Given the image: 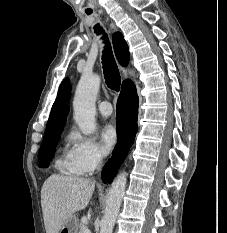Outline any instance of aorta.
<instances>
[{
	"label": "aorta",
	"instance_id": "1",
	"mask_svg": "<svg viewBox=\"0 0 227 233\" xmlns=\"http://www.w3.org/2000/svg\"><path fill=\"white\" fill-rule=\"evenodd\" d=\"M96 74L82 75L73 100L74 120L84 135L96 129L95 100L100 87ZM127 183L126 173L119 174L113 181L106 200V208L100 223V233H112Z\"/></svg>",
	"mask_w": 227,
	"mask_h": 233
}]
</instances>
